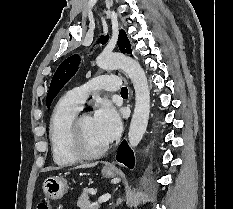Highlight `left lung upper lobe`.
I'll use <instances>...</instances> for the list:
<instances>
[{"label": "left lung upper lobe", "mask_w": 233, "mask_h": 209, "mask_svg": "<svg viewBox=\"0 0 233 209\" xmlns=\"http://www.w3.org/2000/svg\"><path fill=\"white\" fill-rule=\"evenodd\" d=\"M108 37H101L100 42L102 44L106 43ZM119 50L122 53H131V46L128 37L124 30H121L118 38ZM80 63V57L76 54L66 60H64L57 68L46 98L47 107L50 106L51 102L58 94L60 89L69 81V79L76 73L78 65Z\"/></svg>", "instance_id": "left-lung-upper-lobe-1"}]
</instances>
